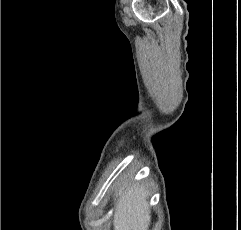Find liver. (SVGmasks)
Listing matches in <instances>:
<instances>
[{"label": "liver", "mask_w": 241, "mask_h": 230, "mask_svg": "<svg viewBox=\"0 0 241 230\" xmlns=\"http://www.w3.org/2000/svg\"><path fill=\"white\" fill-rule=\"evenodd\" d=\"M119 195L113 218L114 230H148L151 216L144 188L127 184Z\"/></svg>", "instance_id": "1"}]
</instances>
